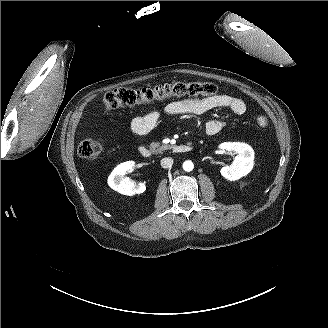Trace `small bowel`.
<instances>
[{
    "instance_id": "small-bowel-1",
    "label": "small bowel",
    "mask_w": 328,
    "mask_h": 328,
    "mask_svg": "<svg viewBox=\"0 0 328 328\" xmlns=\"http://www.w3.org/2000/svg\"><path fill=\"white\" fill-rule=\"evenodd\" d=\"M218 108H227L237 115H242L246 111V104L242 99L230 95L184 98L167 104L161 111H152L134 117L130 122V131L134 136L141 137L150 133L163 115H200ZM223 128V121L212 119L206 123L205 131L213 136Z\"/></svg>"
}]
</instances>
